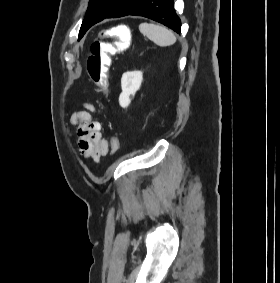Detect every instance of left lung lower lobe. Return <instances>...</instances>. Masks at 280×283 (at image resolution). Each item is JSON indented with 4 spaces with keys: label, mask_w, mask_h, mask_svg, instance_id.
I'll list each match as a JSON object with an SVG mask.
<instances>
[{
    "label": "left lung lower lobe",
    "mask_w": 280,
    "mask_h": 283,
    "mask_svg": "<svg viewBox=\"0 0 280 283\" xmlns=\"http://www.w3.org/2000/svg\"><path fill=\"white\" fill-rule=\"evenodd\" d=\"M128 15L147 17L164 24L176 33L181 31V21L175 13L173 0H145Z\"/></svg>",
    "instance_id": "left-lung-lower-lobe-1"
}]
</instances>
